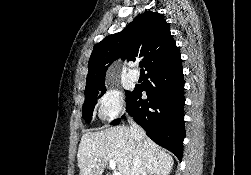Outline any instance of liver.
<instances>
[{"label":"liver","mask_w":251,"mask_h":175,"mask_svg":"<svg viewBox=\"0 0 251 175\" xmlns=\"http://www.w3.org/2000/svg\"><path fill=\"white\" fill-rule=\"evenodd\" d=\"M141 141L138 145V139H134L130 127L126 125L83 133L77 153L79 175H101L110 159H115L120 173L131 175L135 155L142 159L140 173L169 175L174 163L172 155L146 137L145 133Z\"/></svg>","instance_id":"liver-1"}]
</instances>
